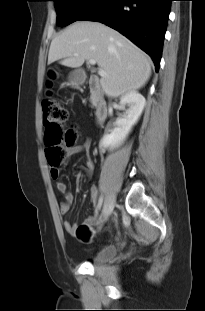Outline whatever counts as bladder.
<instances>
[{
  "instance_id": "bladder-1",
  "label": "bladder",
  "mask_w": 205,
  "mask_h": 311,
  "mask_svg": "<svg viewBox=\"0 0 205 311\" xmlns=\"http://www.w3.org/2000/svg\"><path fill=\"white\" fill-rule=\"evenodd\" d=\"M119 252L117 245H107L89 255V260L92 263L101 264L112 261L116 258Z\"/></svg>"
}]
</instances>
